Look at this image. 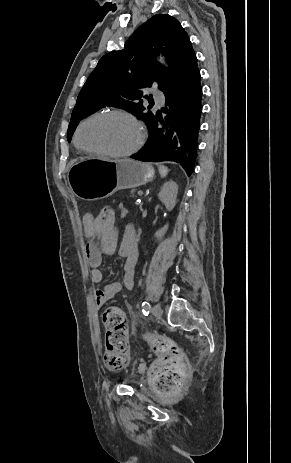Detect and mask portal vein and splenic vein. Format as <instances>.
<instances>
[{
	"mask_svg": "<svg viewBox=\"0 0 291 463\" xmlns=\"http://www.w3.org/2000/svg\"><path fill=\"white\" fill-rule=\"evenodd\" d=\"M138 194H139V195H142V194H143V192H142V191H138Z\"/></svg>",
	"mask_w": 291,
	"mask_h": 463,
	"instance_id": "portal-vein-and-splenic-vein-1",
	"label": "portal vein and splenic vein"
}]
</instances>
